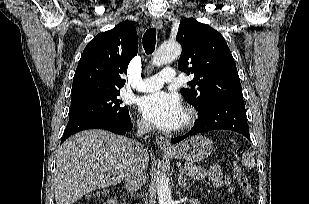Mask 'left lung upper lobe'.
<instances>
[{"instance_id":"5c2ea615","label":"left lung upper lobe","mask_w":309,"mask_h":204,"mask_svg":"<svg viewBox=\"0 0 309 204\" xmlns=\"http://www.w3.org/2000/svg\"><path fill=\"white\" fill-rule=\"evenodd\" d=\"M177 41L182 45L178 68L194 78L180 90L197 111L218 101L242 99L238 71L223 36L194 18L180 22Z\"/></svg>"}]
</instances>
